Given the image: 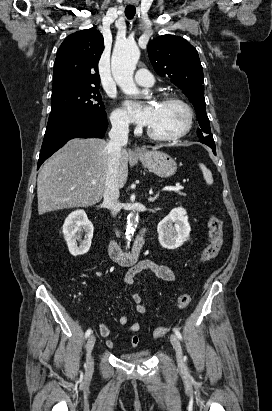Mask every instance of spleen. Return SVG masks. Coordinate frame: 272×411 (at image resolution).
I'll use <instances>...</instances> for the list:
<instances>
[{
	"label": "spleen",
	"instance_id": "1",
	"mask_svg": "<svg viewBox=\"0 0 272 411\" xmlns=\"http://www.w3.org/2000/svg\"><path fill=\"white\" fill-rule=\"evenodd\" d=\"M199 167L203 173V177L206 183L209 185L213 184V177L211 171L208 168H206V166L202 163L199 164Z\"/></svg>",
	"mask_w": 272,
	"mask_h": 411
}]
</instances>
